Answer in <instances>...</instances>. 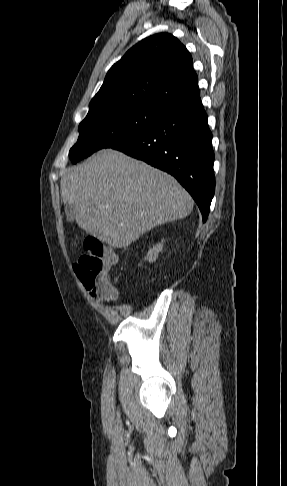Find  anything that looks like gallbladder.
I'll return each instance as SVG.
<instances>
[{
    "instance_id": "bac80fb5",
    "label": "gallbladder",
    "mask_w": 287,
    "mask_h": 486,
    "mask_svg": "<svg viewBox=\"0 0 287 486\" xmlns=\"http://www.w3.org/2000/svg\"><path fill=\"white\" fill-rule=\"evenodd\" d=\"M67 221L72 222L74 220V205H66L65 208Z\"/></svg>"
}]
</instances>
